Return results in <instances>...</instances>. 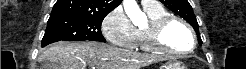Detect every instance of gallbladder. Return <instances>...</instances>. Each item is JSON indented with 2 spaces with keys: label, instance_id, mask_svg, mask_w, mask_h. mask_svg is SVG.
Here are the masks:
<instances>
[{
  "label": "gallbladder",
  "instance_id": "obj_1",
  "mask_svg": "<svg viewBox=\"0 0 246 69\" xmlns=\"http://www.w3.org/2000/svg\"><path fill=\"white\" fill-rule=\"evenodd\" d=\"M41 69H60L58 64H53L52 62H50L49 60H45L41 67Z\"/></svg>",
  "mask_w": 246,
  "mask_h": 69
}]
</instances>
